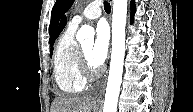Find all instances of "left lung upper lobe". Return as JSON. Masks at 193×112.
<instances>
[{
  "instance_id": "1",
  "label": "left lung upper lobe",
  "mask_w": 193,
  "mask_h": 112,
  "mask_svg": "<svg viewBox=\"0 0 193 112\" xmlns=\"http://www.w3.org/2000/svg\"><path fill=\"white\" fill-rule=\"evenodd\" d=\"M74 0H57L51 13V22L49 26L50 46H53L58 36L57 27L61 16L69 10Z\"/></svg>"
}]
</instances>
